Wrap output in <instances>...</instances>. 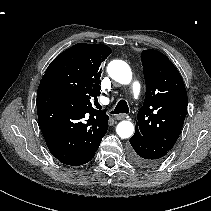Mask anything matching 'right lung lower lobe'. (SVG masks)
<instances>
[{
    "mask_svg": "<svg viewBox=\"0 0 211 211\" xmlns=\"http://www.w3.org/2000/svg\"><path fill=\"white\" fill-rule=\"evenodd\" d=\"M37 114L48 149L67 165L89 162L108 129V115H98L73 95L41 85Z\"/></svg>",
    "mask_w": 211,
    "mask_h": 211,
    "instance_id": "right-lung-lower-lobe-1",
    "label": "right lung lower lobe"
}]
</instances>
